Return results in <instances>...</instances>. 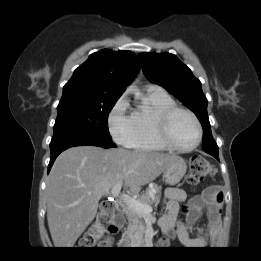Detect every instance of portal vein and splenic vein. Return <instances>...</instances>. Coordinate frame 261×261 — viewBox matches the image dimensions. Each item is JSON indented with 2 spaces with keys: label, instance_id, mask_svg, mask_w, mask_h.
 I'll list each match as a JSON object with an SVG mask.
<instances>
[{
  "label": "portal vein and splenic vein",
  "instance_id": "1",
  "mask_svg": "<svg viewBox=\"0 0 261 261\" xmlns=\"http://www.w3.org/2000/svg\"><path fill=\"white\" fill-rule=\"evenodd\" d=\"M122 183L123 181L120 180L117 184L113 186V188L111 189L112 196H118L120 194ZM121 198L130 208L138 213L147 214L152 212V207L150 205L143 204L129 195L122 194Z\"/></svg>",
  "mask_w": 261,
  "mask_h": 261
}]
</instances>
